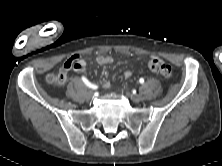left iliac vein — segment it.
<instances>
[{
  "label": "left iliac vein",
  "instance_id": "left-iliac-vein-1",
  "mask_svg": "<svg viewBox=\"0 0 222 166\" xmlns=\"http://www.w3.org/2000/svg\"><path fill=\"white\" fill-rule=\"evenodd\" d=\"M131 99H132L133 102L138 103V102L141 101V96L138 95V94H133V95H131Z\"/></svg>",
  "mask_w": 222,
  "mask_h": 166
}]
</instances>
